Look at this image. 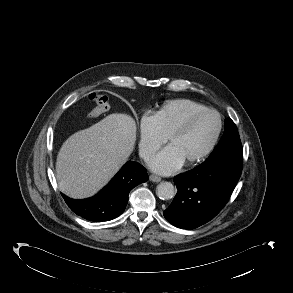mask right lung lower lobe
I'll return each instance as SVG.
<instances>
[{
	"label": "right lung lower lobe",
	"instance_id": "1",
	"mask_svg": "<svg viewBox=\"0 0 293 293\" xmlns=\"http://www.w3.org/2000/svg\"><path fill=\"white\" fill-rule=\"evenodd\" d=\"M147 180L146 169L139 163L129 161L96 196L84 200H74L63 194L62 197L70 209L82 218L109 221L123 213L129 192Z\"/></svg>",
	"mask_w": 293,
	"mask_h": 293
}]
</instances>
